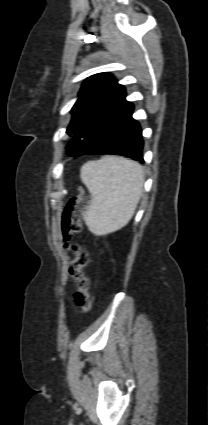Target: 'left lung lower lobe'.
<instances>
[{"mask_svg": "<svg viewBox=\"0 0 208 425\" xmlns=\"http://www.w3.org/2000/svg\"><path fill=\"white\" fill-rule=\"evenodd\" d=\"M125 97L124 91L75 135L80 155L114 154L144 161L142 130L132 118L133 104Z\"/></svg>", "mask_w": 208, "mask_h": 425, "instance_id": "1", "label": "left lung lower lobe"}]
</instances>
